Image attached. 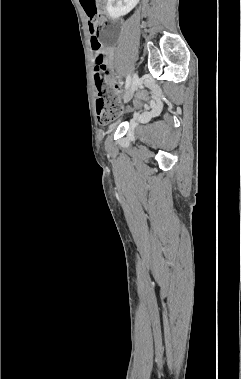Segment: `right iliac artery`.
I'll use <instances>...</instances> for the list:
<instances>
[{
    "label": "right iliac artery",
    "instance_id": "obj_1",
    "mask_svg": "<svg viewBox=\"0 0 241 379\" xmlns=\"http://www.w3.org/2000/svg\"><path fill=\"white\" fill-rule=\"evenodd\" d=\"M130 84H131V76L128 74L126 78V85H125L126 90L129 88Z\"/></svg>",
    "mask_w": 241,
    "mask_h": 379
}]
</instances>
